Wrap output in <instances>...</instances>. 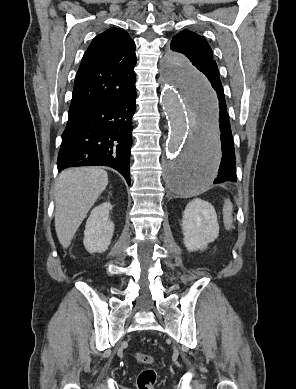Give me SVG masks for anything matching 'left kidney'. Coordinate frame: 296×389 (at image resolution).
Listing matches in <instances>:
<instances>
[{
	"label": "left kidney",
	"instance_id": "1",
	"mask_svg": "<svg viewBox=\"0 0 296 389\" xmlns=\"http://www.w3.org/2000/svg\"><path fill=\"white\" fill-rule=\"evenodd\" d=\"M182 233L189 252L206 249L219 235L214 207L202 199L189 202L183 213Z\"/></svg>",
	"mask_w": 296,
	"mask_h": 389
}]
</instances>
